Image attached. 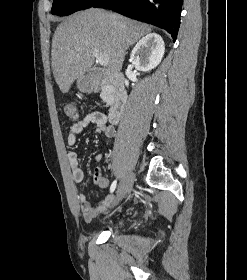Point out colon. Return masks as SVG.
Masks as SVG:
<instances>
[{
	"label": "colon",
	"mask_w": 247,
	"mask_h": 280,
	"mask_svg": "<svg viewBox=\"0 0 247 280\" xmlns=\"http://www.w3.org/2000/svg\"><path fill=\"white\" fill-rule=\"evenodd\" d=\"M64 114L67 118L75 119L78 116L77 106L74 102L69 101L64 106Z\"/></svg>",
	"instance_id": "5ec220e1"
}]
</instances>
